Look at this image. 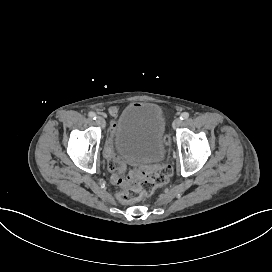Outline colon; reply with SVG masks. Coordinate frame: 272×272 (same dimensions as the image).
Here are the masks:
<instances>
[{"label":"colon","mask_w":272,"mask_h":272,"mask_svg":"<svg viewBox=\"0 0 272 272\" xmlns=\"http://www.w3.org/2000/svg\"><path fill=\"white\" fill-rule=\"evenodd\" d=\"M168 141V137H164ZM111 173L120 189L115 198L119 204L125 205L132 200H137L140 195L148 196L154 192L156 186L164 185L172 175V166L165 164L156 169L152 174H127L128 170L123 159L118 158L110 162Z\"/></svg>","instance_id":"colon-1"}]
</instances>
